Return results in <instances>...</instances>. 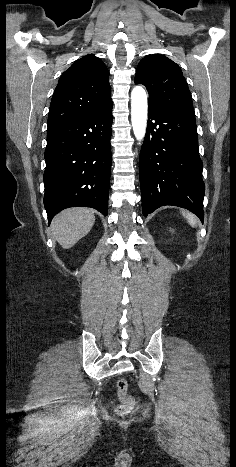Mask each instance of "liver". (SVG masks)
Instances as JSON below:
<instances>
[{
	"mask_svg": "<svg viewBox=\"0 0 236 467\" xmlns=\"http://www.w3.org/2000/svg\"><path fill=\"white\" fill-rule=\"evenodd\" d=\"M94 223V210L69 208L54 217L51 229L55 240L64 249H69L90 232Z\"/></svg>",
	"mask_w": 236,
	"mask_h": 467,
	"instance_id": "liver-1",
	"label": "liver"
}]
</instances>
